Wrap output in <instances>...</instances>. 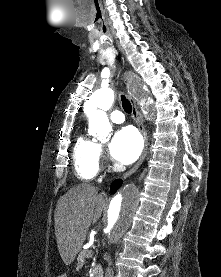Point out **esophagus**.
<instances>
[{"label": "esophagus", "instance_id": "34e87169", "mask_svg": "<svg viewBox=\"0 0 221 277\" xmlns=\"http://www.w3.org/2000/svg\"><path fill=\"white\" fill-rule=\"evenodd\" d=\"M128 97H129V100L132 104V116H133V118H134V120H135L142 136H143V139H144V149H143V152H142L139 160L134 165V167L132 169H130L129 171H127L122 176V178L128 177L129 175H131L132 173H134L138 169V167L142 164L145 157L147 156L148 146H149L147 131H146V128H145V125H144V122H143V118L141 117V115L138 111V108H137V105H136V100L130 92H128Z\"/></svg>", "mask_w": 221, "mask_h": 277}]
</instances>
